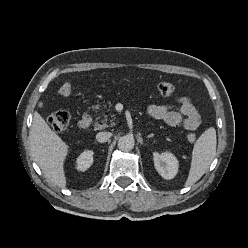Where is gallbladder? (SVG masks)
Segmentation results:
<instances>
[{"mask_svg":"<svg viewBox=\"0 0 248 248\" xmlns=\"http://www.w3.org/2000/svg\"><path fill=\"white\" fill-rule=\"evenodd\" d=\"M38 106L41 108L43 106V104L41 102H39Z\"/></svg>","mask_w":248,"mask_h":248,"instance_id":"1","label":"gallbladder"}]
</instances>
